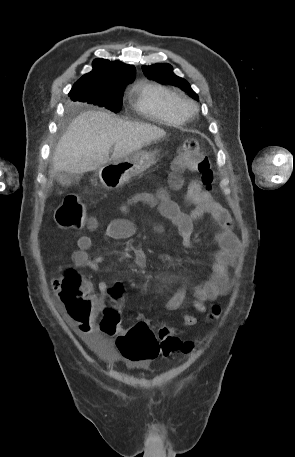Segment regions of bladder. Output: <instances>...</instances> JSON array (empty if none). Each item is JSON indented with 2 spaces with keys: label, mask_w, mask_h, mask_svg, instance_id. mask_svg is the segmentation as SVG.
<instances>
[{
  "label": "bladder",
  "mask_w": 295,
  "mask_h": 457,
  "mask_svg": "<svg viewBox=\"0 0 295 457\" xmlns=\"http://www.w3.org/2000/svg\"><path fill=\"white\" fill-rule=\"evenodd\" d=\"M82 347H100V356H109L111 350V338H82ZM138 366V364L136 365Z\"/></svg>",
  "instance_id": "1"
}]
</instances>
